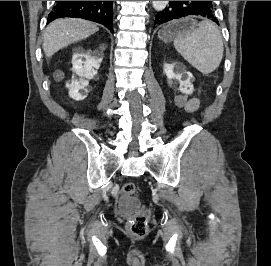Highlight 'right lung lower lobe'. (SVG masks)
I'll return each mask as SVG.
<instances>
[{
  "mask_svg": "<svg viewBox=\"0 0 271 266\" xmlns=\"http://www.w3.org/2000/svg\"><path fill=\"white\" fill-rule=\"evenodd\" d=\"M61 17L84 18L113 31V1H55L47 22Z\"/></svg>",
  "mask_w": 271,
  "mask_h": 266,
  "instance_id": "right-lung-lower-lobe-1",
  "label": "right lung lower lobe"
}]
</instances>
